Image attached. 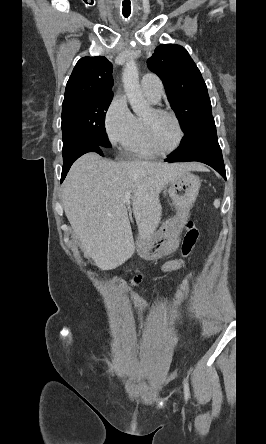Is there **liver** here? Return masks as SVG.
Listing matches in <instances>:
<instances>
[{"instance_id":"obj_1","label":"liver","mask_w":266,"mask_h":444,"mask_svg":"<svg viewBox=\"0 0 266 444\" xmlns=\"http://www.w3.org/2000/svg\"><path fill=\"white\" fill-rule=\"evenodd\" d=\"M196 163L114 162L87 153L71 167L62 186V202L84 254L101 270L115 269L135 252L125 202L131 205L141 240L150 239L161 219L159 194Z\"/></svg>"}]
</instances>
